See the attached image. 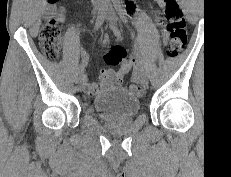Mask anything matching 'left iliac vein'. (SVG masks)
Masks as SVG:
<instances>
[{
  "label": "left iliac vein",
  "mask_w": 231,
  "mask_h": 177,
  "mask_svg": "<svg viewBox=\"0 0 231 177\" xmlns=\"http://www.w3.org/2000/svg\"><path fill=\"white\" fill-rule=\"evenodd\" d=\"M107 20L110 23H112V24H114L117 21V17H116L115 13L112 10H110L108 12ZM138 78L140 80V83L143 86H147L148 85V76H147V74L144 71H141L140 77H138Z\"/></svg>",
  "instance_id": "left-iliac-vein-1"
}]
</instances>
